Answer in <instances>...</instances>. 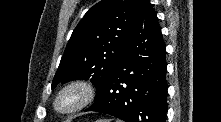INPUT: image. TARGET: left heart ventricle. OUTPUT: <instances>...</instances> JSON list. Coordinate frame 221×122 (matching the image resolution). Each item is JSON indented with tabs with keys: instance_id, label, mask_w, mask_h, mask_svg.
<instances>
[{
	"instance_id": "1",
	"label": "left heart ventricle",
	"mask_w": 221,
	"mask_h": 122,
	"mask_svg": "<svg viewBox=\"0 0 221 122\" xmlns=\"http://www.w3.org/2000/svg\"><path fill=\"white\" fill-rule=\"evenodd\" d=\"M74 102H75V97L72 96V95H69V96H66V97L62 100L61 105H62L63 107H69V106L73 105Z\"/></svg>"
}]
</instances>
